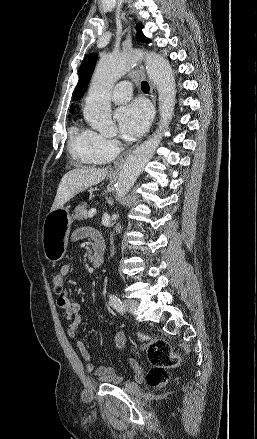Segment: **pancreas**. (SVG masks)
<instances>
[{
    "label": "pancreas",
    "instance_id": "cf45deb5",
    "mask_svg": "<svg viewBox=\"0 0 257 439\" xmlns=\"http://www.w3.org/2000/svg\"><path fill=\"white\" fill-rule=\"evenodd\" d=\"M86 208H87V204L86 203H82V204L78 205L75 208L74 219H77V220H84V219H86L88 217Z\"/></svg>",
    "mask_w": 257,
    "mask_h": 439
}]
</instances>
